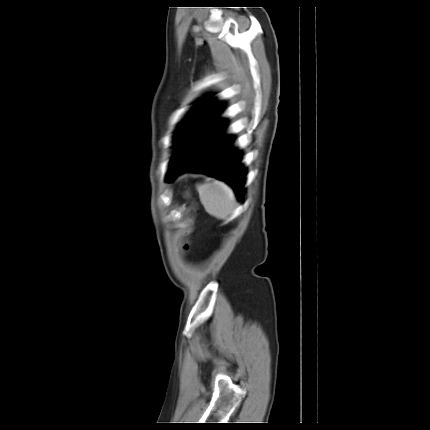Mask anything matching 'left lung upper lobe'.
<instances>
[{
  "label": "left lung upper lobe",
  "mask_w": 430,
  "mask_h": 430,
  "mask_svg": "<svg viewBox=\"0 0 430 430\" xmlns=\"http://www.w3.org/2000/svg\"><path fill=\"white\" fill-rule=\"evenodd\" d=\"M221 104L218 102L205 101L194 107L185 118L184 123L178 129L175 137V148H180L192 136L198 124L206 118H217L221 113Z\"/></svg>",
  "instance_id": "left-lung-upper-lobe-1"
}]
</instances>
